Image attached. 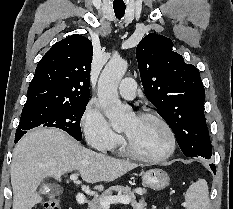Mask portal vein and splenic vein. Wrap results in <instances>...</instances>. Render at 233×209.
<instances>
[{
	"label": "portal vein and splenic vein",
	"mask_w": 233,
	"mask_h": 209,
	"mask_svg": "<svg viewBox=\"0 0 233 209\" xmlns=\"http://www.w3.org/2000/svg\"><path fill=\"white\" fill-rule=\"evenodd\" d=\"M70 179L76 181L78 179L76 174H71ZM130 199L124 196H110L100 200V204L104 209H109L111 204H125L128 205Z\"/></svg>",
	"instance_id": "1"
}]
</instances>
